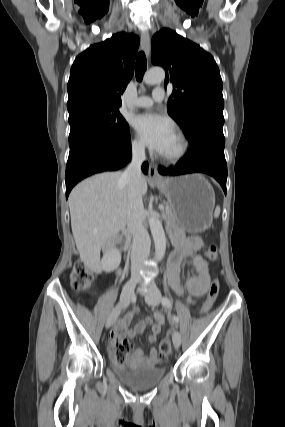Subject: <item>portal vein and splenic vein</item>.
Segmentation results:
<instances>
[{"label": "portal vein and splenic vein", "mask_w": 285, "mask_h": 427, "mask_svg": "<svg viewBox=\"0 0 285 427\" xmlns=\"http://www.w3.org/2000/svg\"><path fill=\"white\" fill-rule=\"evenodd\" d=\"M159 209H160V210H163V209H164V205L160 204V205H159Z\"/></svg>", "instance_id": "portal-vein-and-splenic-vein-1"}]
</instances>
